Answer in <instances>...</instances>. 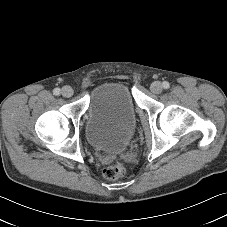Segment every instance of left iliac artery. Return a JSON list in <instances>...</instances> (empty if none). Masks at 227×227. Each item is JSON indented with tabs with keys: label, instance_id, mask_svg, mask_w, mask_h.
I'll return each instance as SVG.
<instances>
[{
	"label": "left iliac artery",
	"instance_id": "left-iliac-artery-1",
	"mask_svg": "<svg viewBox=\"0 0 227 227\" xmlns=\"http://www.w3.org/2000/svg\"><path fill=\"white\" fill-rule=\"evenodd\" d=\"M163 88L168 89L170 87L169 83L167 81H164L162 83Z\"/></svg>",
	"mask_w": 227,
	"mask_h": 227
}]
</instances>
